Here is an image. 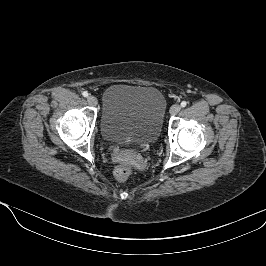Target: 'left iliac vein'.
I'll return each mask as SVG.
<instances>
[{
  "mask_svg": "<svg viewBox=\"0 0 266 266\" xmlns=\"http://www.w3.org/2000/svg\"><path fill=\"white\" fill-rule=\"evenodd\" d=\"M180 110H181V106L179 104H174L170 108V114L171 115H177Z\"/></svg>",
  "mask_w": 266,
  "mask_h": 266,
  "instance_id": "obj_1",
  "label": "left iliac vein"
}]
</instances>
